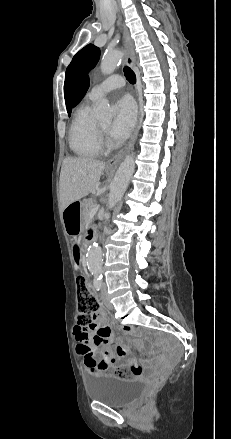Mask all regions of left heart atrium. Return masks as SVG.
Listing matches in <instances>:
<instances>
[{
	"label": "left heart atrium",
	"mask_w": 231,
	"mask_h": 439,
	"mask_svg": "<svg viewBox=\"0 0 231 439\" xmlns=\"http://www.w3.org/2000/svg\"><path fill=\"white\" fill-rule=\"evenodd\" d=\"M115 117L110 128L111 138L115 142L124 141L131 133L135 120L136 109L128 97L120 98L115 105Z\"/></svg>",
	"instance_id": "left-heart-atrium-1"
}]
</instances>
